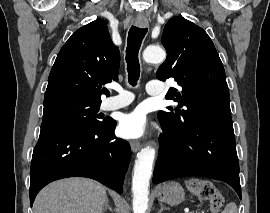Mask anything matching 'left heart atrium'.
Listing matches in <instances>:
<instances>
[{
    "instance_id": "left-heart-atrium-1",
    "label": "left heart atrium",
    "mask_w": 270,
    "mask_h": 213,
    "mask_svg": "<svg viewBox=\"0 0 270 213\" xmlns=\"http://www.w3.org/2000/svg\"><path fill=\"white\" fill-rule=\"evenodd\" d=\"M119 133L126 139H138L146 133V118L144 113L137 109L124 115L119 122Z\"/></svg>"
}]
</instances>
